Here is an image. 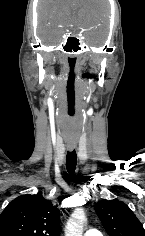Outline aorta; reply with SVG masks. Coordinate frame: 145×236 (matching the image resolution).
<instances>
[{
	"mask_svg": "<svg viewBox=\"0 0 145 236\" xmlns=\"http://www.w3.org/2000/svg\"><path fill=\"white\" fill-rule=\"evenodd\" d=\"M86 221V215L82 208H76L66 227V236H83V225Z\"/></svg>",
	"mask_w": 145,
	"mask_h": 236,
	"instance_id": "obj_1",
	"label": "aorta"
}]
</instances>
